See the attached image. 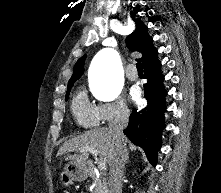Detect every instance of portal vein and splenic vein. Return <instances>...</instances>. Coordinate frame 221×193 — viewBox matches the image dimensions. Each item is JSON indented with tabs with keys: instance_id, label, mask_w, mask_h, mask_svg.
I'll return each mask as SVG.
<instances>
[{
	"instance_id": "1",
	"label": "portal vein and splenic vein",
	"mask_w": 221,
	"mask_h": 193,
	"mask_svg": "<svg viewBox=\"0 0 221 193\" xmlns=\"http://www.w3.org/2000/svg\"><path fill=\"white\" fill-rule=\"evenodd\" d=\"M80 151H88L90 152L91 154H93L94 156H97L98 155V151L94 148H81ZM106 167V163L104 161H100L98 163V168L100 170H104Z\"/></svg>"
}]
</instances>
